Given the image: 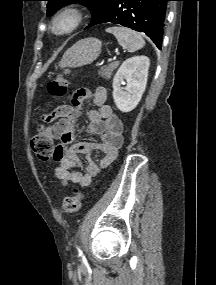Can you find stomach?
<instances>
[{"label": "stomach", "instance_id": "0dacf381", "mask_svg": "<svg viewBox=\"0 0 216 285\" xmlns=\"http://www.w3.org/2000/svg\"><path fill=\"white\" fill-rule=\"evenodd\" d=\"M101 41L94 37L81 39L63 55L59 67L76 68L91 64L101 53Z\"/></svg>", "mask_w": 216, "mask_h": 285}]
</instances>
